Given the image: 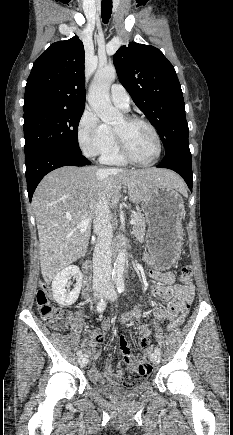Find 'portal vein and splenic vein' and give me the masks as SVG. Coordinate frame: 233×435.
<instances>
[{"instance_id": "portal-vein-and-splenic-vein-1", "label": "portal vein and splenic vein", "mask_w": 233, "mask_h": 435, "mask_svg": "<svg viewBox=\"0 0 233 435\" xmlns=\"http://www.w3.org/2000/svg\"><path fill=\"white\" fill-rule=\"evenodd\" d=\"M91 220H92V217H91V218L84 219V220H82V221L80 222V224L78 225V228H80V231H81V232H84V231L87 230L88 225H89V223L91 222ZM135 222H136V221H135L134 219H131L130 224H131V225H134Z\"/></svg>"}]
</instances>
